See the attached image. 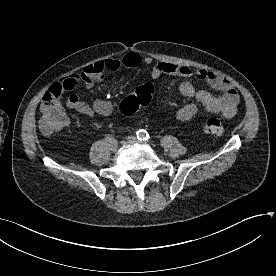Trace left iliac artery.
<instances>
[{
	"label": "left iliac artery",
	"mask_w": 276,
	"mask_h": 276,
	"mask_svg": "<svg viewBox=\"0 0 276 276\" xmlns=\"http://www.w3.org/2000/svg\"><path fill=\"white\" fill-rule=\"evenodd\" d=\"M136 135L140 141H148L150 138L148 132L143 129L137 131Z\"/></svg>",
	"instance_id": "44dca946"
}]
</instances>
